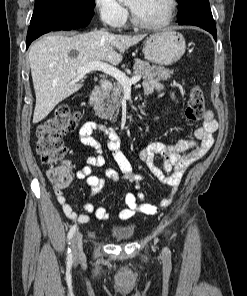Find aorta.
<instances>
[{"mask_svg": "<svg viewBox=\"0 0 247 296\" xmlns=\"http://www.w3.org/2000/svg\"><path fill=\"white\" fill-rule=\"evenodd\" d=\"M120 3L127 2L128 0H118Z\"/></svg>", "mask_w": 247, "mask_h": 296, "instance_id": "762f6f07", "label": "aorta"}]
</instances>
